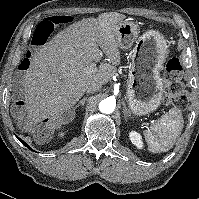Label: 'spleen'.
Wrapping results in <instances>:
<instances>
[{"mask_svg":"<svg viewBox=\"0 0 199 199\" xmlns=\"http://www.w3.org/2000/svg\"><path fill=\"white\" fill-rule=\"evenodd\" d=\"M183 124L182 113L177 108L162 115L144 132L149 151L160 153L170 150L181 134Z\"/></svg>","mask_w":199,"mask_h":199,"instance_id":"1","label":"spleen"}]
</instances>
